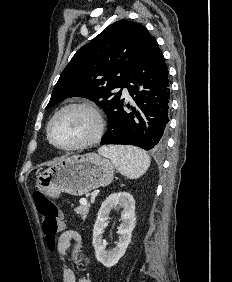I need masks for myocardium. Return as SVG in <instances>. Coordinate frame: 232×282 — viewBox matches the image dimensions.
Instances as JSON below:
<instances>
[{
  "label": "myocardium",
  "instance_id": "1",
  "mask_svg": "<svg viewBox=\"0 0 232 282\" xmlns=\"http://www.w3.org/2000/svg\"><path fill=\"white\" fill-rule=\"evenodd\" d=\"M70 109H84L90 112L96 120V129L93 135L90 138H88L87 140L77 143V144L69 145V146H62V145L57 144L53 140L52 134H51V128L56 118L60 116L62 113H64L65 111L70 110ZM104 128H105V123H104L103 117L100 111L98 110V108L90 102L81 101V102L68 103L62 106L61 108H59L48 121V124L46 127V134H47V139L49 143L54 148L63 150V151H74V150H81V149L88 148L96 144L97 142H99L103 136Z\"/></svg>",
  "mask_w": 232,
  "mask_h": 282
}]
</instances>
